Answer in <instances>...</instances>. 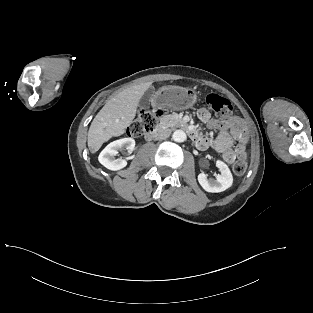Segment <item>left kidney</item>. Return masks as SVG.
I'll return each instance as SVG.
<instances>
[{
  "label": "left kidney",
  "instance_id": "5707ae66",
  "mask_svg": "<svg viewBox=\"0 0 313 313\" xmlns=\"http://www.w3.org/2000/svg\"><path fill=\"white\" fill-rule=\"evenodd\" d=\"M216 166L219 168L220 174L216 176V180L209 179L205 173L198 175V182L207 192L218 193L230 188L233 184V176L228 166L220 161H216Z\"/></svg>",
  "mask_w": 313,
  "mask_h": 313
}]
</instances>
